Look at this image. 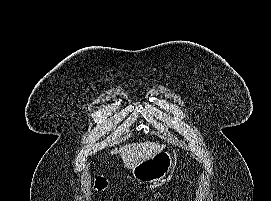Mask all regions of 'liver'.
<instances>
[{
	"mask_svg": "<svg viewBox=\"0 0 271 201\" xmlns=\"http://www.w3.org/2000/svg\"><path fill=\"white\" fill-rule=\"evenodd\" d=\"M164 148V144L145 141L120 146L119 149L114 150V152L119 153L125 167L132 169L140 162L150 159L157 153L163 151Z\"/></svg>",
	"mask_w": 271,
	"mask_h": 201,
	"instance_id": "1",
	"label": "liver"
}]
</instances>
